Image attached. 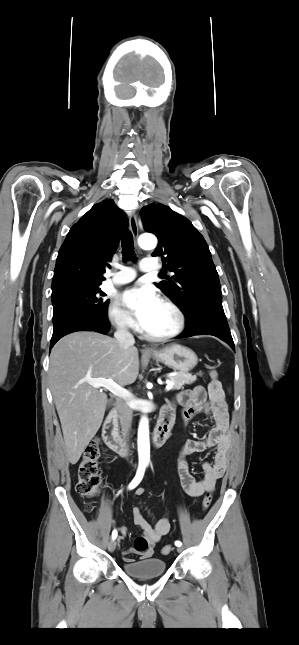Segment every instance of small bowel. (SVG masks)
<instances>
[{
    "label": "small bowel",
    "instance_id": "small-bowel-1",
    "mask_svg": "<svg viewBox=\"0 0 299 645\" xmlns=\"http://www.w3.org/2000/svg\"><path fill=\"white\" fill-rule=\"evenodd\" d=\"M177 402L183 407V420L188 423L196 414L205 413L213 419V427L205 440H187L182 447L178 459V472L181 484L190 496L197 497L204 493L212 492L216 482L223 477L228 461L231 448V435L229 432V414L227 403L222 389L214 391L209 388L208 393L202 386H197L191 390L180 393ZM174 418L172 407H168ZM215 448L216 452L212 462L202 463V476L196 477L190 470L186 456L203 452L207 449ZM140 497L144 494L143 488H138L135 492ZM133 522L142 529L143 537L147 541V549L143 552H137L135 548L127 549L123 552V559L126 562H133L132 555H138L140 559L151 558L154 549L161 538L167 535L171 529V520L168 517H162L152 527L143 517L139 507L132 510ZM119 539H124L127 535V528H119Z\"/></svg>",
    "mask_w": 299,
    "mask_h": 645
}]
</instances>
